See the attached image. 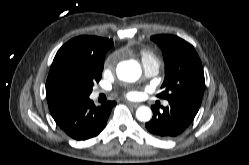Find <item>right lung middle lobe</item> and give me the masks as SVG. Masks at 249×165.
Returning <instances> with one entry per match:
<instances>
[{
  "instance_id": "right-lung-middle-lobe-1",
  "label": "right lung middle lobe",
  "mask_w": 249,
  "mask_h": 165,
  "mask_svg": "<svg viewBox=\"0 0 249 165\" xmlns=\"http://www.w3.org/2000/svg\"><path fill=\"white\" fill-rule=\"evenodd\" d=\"M103 65L92 61L76 62L69 65L67 77L76 97H88L94 82L101 79Z\"/></svg>"
}]
</instances>
